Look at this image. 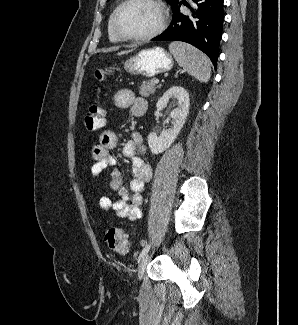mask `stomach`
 Masks as SVG:
<instances>
[{
    "label": "stomach",
    "mask_w": 298,
    "mask_h": 325,
    "mask_svg": "<svg viewBox=\"0 0 298 325\" xmlns=\"http://www.w3.org/2000/svg\"><path fill=\"white\" fill-rule=\"evenodd\" d=\"M174 60L162 46H151V48H139L137 52L128 56L123 62V68L128 74H142V76H156L161 72L171 70ZM118 68H105L106 74H114ZM94 90H91L93 94Z\"/></svg>",
    "instance_id": "1"
}]
</instances>
